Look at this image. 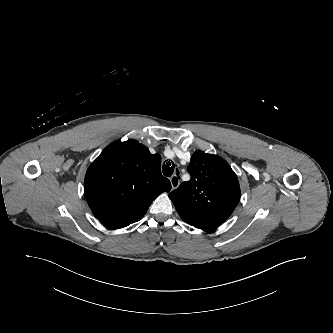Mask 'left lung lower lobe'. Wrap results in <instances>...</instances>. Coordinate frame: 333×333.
Wrapping results in <instances>:
<instances>
[{
    "label": "left lung lower lobe",
    "mask_w": 333,
    "mask_h": 333,
    "mask_svg": "<svg viewBox=\"0 0 333 333\" xmlns=\"http://www.w3.org/2000/svg\"><path fill=\"white\" fill-rule=\"evenodd\" d=\"M175 208L183 221L202 230L221 225L235 209L231 206L191 207L184 204H175Z\"/></svg>",
    "instance_id": "0a47b994"
}]
</instances>
